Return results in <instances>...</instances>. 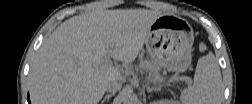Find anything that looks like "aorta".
Returning a JSON list of instances; mask_svg holds the SVG:
<instances>
[{
  "instance_id": "aorta-1",
  "label": "aorta",
  "mask_w": 252,
  "mask_h": 104,
  "mask_svg": "<svg viewBox=\"0 0 252 104\" xmlns=\"http://www.w3.org/2000/svg\"><path fill=\"white\" fill-rule=\"evenodd\" d=\"M133 97L130 94L124 96V103H133Z\"/></svg>"
}]
</instances>
